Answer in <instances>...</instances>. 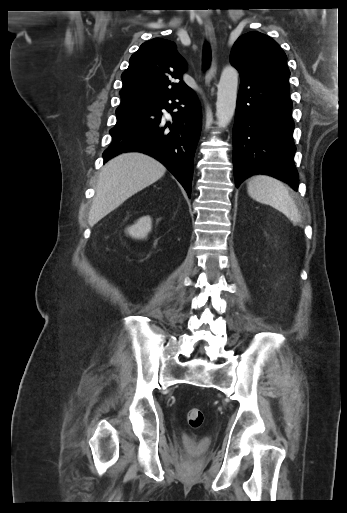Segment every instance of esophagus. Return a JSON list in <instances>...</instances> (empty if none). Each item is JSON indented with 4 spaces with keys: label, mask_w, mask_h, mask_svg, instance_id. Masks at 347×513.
Wrapping results in <instances>:
<instances>
[{
    "label": "esophagus",
    "mask_w": 347,
    "mask_h": 513,
    "mask_svg": "<svg viewBox=\"0 0 347 513\" xmlns=\"http://www.w3.org/2000/svg\"><path fill=\"white\" fill-rule=\"evenodd\" d=\"M204 27H205L206 37L212 46V55H213L211 65H210L209 69L207 70L206 76H205V83L209 84L210 81L213 78H215L216 72H217V62H216V56H215L216 38H215L214 27L210 20H207L205 22Z\"/></svg>",
    "instance_id": "esophagus-1"
}]
</instances>
